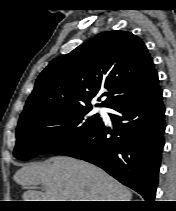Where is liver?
<instances>
[{
  "label": "liver",
  "mask_w": 176,
  "mask_h": 211,
  "mask_svg": "<svg viewBox=\"0 0 176 211\" xmlns=\"http://www.w3.org/2000/svg\"><path fill=\"white\" fill-rule=\"evenodd\" d=\"M23 201H131L130 190L101 168L66 156L23 166L13 176ZM42 185V191L31 190Z\"/></svg>",
  "instance_id": "liver-1"
}]
</instances>
